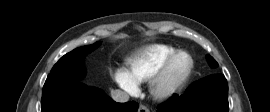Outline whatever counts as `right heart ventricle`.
<instances>
[{"mask_svg": "<svg viewBox=\"0 0 270 112\" xmlns=\"http://www.w3.org/2000/svg\"><path fill=\"white\" fill-rule=\"evenodd\" d=\"M176 49L165 44L143 47L127 59V73L136 84L149 81L165 58Z\"/></svg>", "mask_w": 270, "mask_h": 112, "instance_id": "obj_1", "label": "right heart ventricle"}]
</instances>
